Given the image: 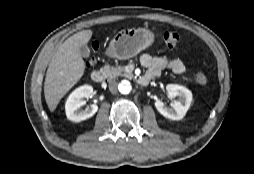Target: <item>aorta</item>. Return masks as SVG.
I'll return each mask as SVG.
<instances>
[{"instance_id":"762f6f07","label":"aorta","mask_w":254,"mask_h":174,"mask_svg":"<svg viewBox=\"0 0 254 174\" xmlns=\"http://www.w3.org/2000/svg\"><path fill=\"white\" fill-rule=\"evenodd\" d=\"M118 90L121 94H129L132 90L130 82L129 81H122L118 85Z\"/></svg>"}]
</instances>
